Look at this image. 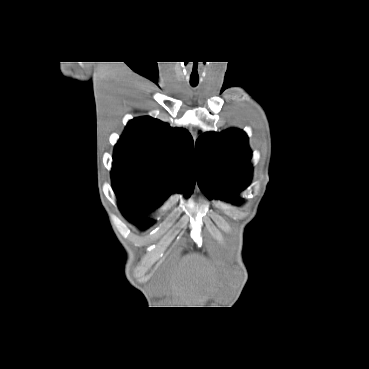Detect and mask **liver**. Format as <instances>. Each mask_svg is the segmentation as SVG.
Returning <instances> with one entry per match:
<instances>
[{
  "label": "liver",
  "mask_w": 369,
  "mask_h": 369,
  "mask_svg": "<svg viewBox=\"0 0 369 369\" xmlns=\"http://www.w3.org/2000/svg\"><path fill=\"white\" fill-rule=\"evenodd\" d=\"M199 274L198 272H194V270L187 269V268H179L176 270L170 277L168 281L171 285V289L174 295L180 293L185 286L190 282L191 279L197 277Z\"/></svg>",
  "instance_id": "obj_1"
}]
</instances>
